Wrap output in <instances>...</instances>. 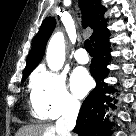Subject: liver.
Here are the masks:
<instances>
[{"label":"liver","instance_id":"obj_1","mask_svg":"<svg viewBox=\"0 0 136 136\" xmlns=\"http://www.w3.org/2000/svg\"><path fill=\"white\" fill-rule=\"evenodd\" d=\"M16 136H59L55 127L46 124H35L22 127Z\"/></svg>","mask_w":136,"mask_h":136}]
</instances>
